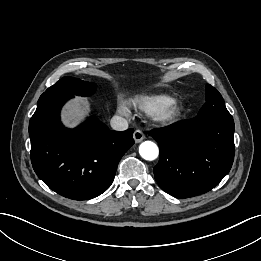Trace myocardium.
I'll use <instances>...</instances> for the list:
<instances>
[{"label":"myocardium","mask_w":261,"mask_h":261,"mask_svg":"<svg viewBox=\"0 0 261 261\" xmlns=\"http://www.w3.org/2000/svg\"><path fill=\"white\" fill-rule=\"evenodd\" d=\"M183 112V107L175 100H171L155 114L158 123L168 125L175 122Z\"/></svg>","instance_id":"obj_1"}]
</instances>
